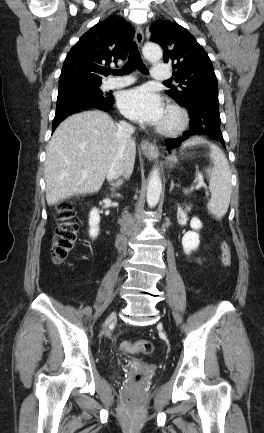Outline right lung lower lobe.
<instances>
[{
  "label": "right lung lower lobe",
  "instance_id": "right-lung-lower-lobe-1",
  "mask_svg": "<svg viewBox=\"0 0 264 433\" xmlns=\"http://www.w3.org/2000/svg\"><path fill=\"white\" fill-rule=\"evenodd\" d=\"M112 95L94 96L85 94H76L71 96L67 101L61 102L60 111H57L52 124V132L55 128L69 115L87 109H99L109 111L113 106Z\"/></svg>",
  "mask_w": 264,
  "mask_h": 433
}]
</instances>
